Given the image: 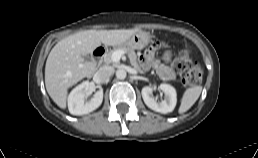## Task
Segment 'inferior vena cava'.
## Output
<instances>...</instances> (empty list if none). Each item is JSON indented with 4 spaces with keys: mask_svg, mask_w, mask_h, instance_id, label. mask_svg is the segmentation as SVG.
I'll return each instance as SVG.
<instances>
[{
    "mask_svg": "<svg viewBox=\"0 0 258 158\" xmlns=\"http://www.w3.org/2000/svg\"><path fill=\"white\" fill-rule=\"evenodd\" d=\"M113 68L109 66H102L94 75V80L96 82H105L107 81L113 74Z\"/></svg>",
    "mask_w": 258,
    "mask_h": 158,
    "instance_id": "inferior-vena-cava-1",
    "label": "inferior vena cava"
}]
</instances>
